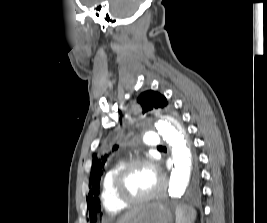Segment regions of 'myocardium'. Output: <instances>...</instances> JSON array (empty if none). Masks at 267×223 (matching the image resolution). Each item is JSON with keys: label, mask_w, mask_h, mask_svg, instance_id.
<instances>
[{"label": "myocardium", "mask_w": 267, "mask_h": 223, "mask_svg": "<svg viewBox=\"0 0 267 223\" xmlns=\"http://www.w3.org/2000/svg\"><path fill=\"white\" fill-rule=\"evenodd\" d=\"M137 166H147L148 168H150L158 177V184L152 192L146 195L136 198L128 197L123 189L124 181L128 176V174L131 172V170ZM164 186H165L164 176L160 173L156 161L152 159L150 156L137 157L126 162L120 168V170L118 171L113 180V192L116 198L125 205L141 204L151 201L162 193Z\"/></svg>", "instance_id": "myocardium-1"}]
</instances>
